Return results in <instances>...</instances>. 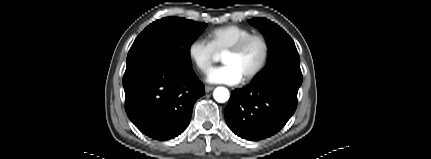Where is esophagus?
Listing matches in <instances>:
<instances>
[{
	"instance_id": "1",
	"label": "esophagus",
	"mask_w": 431,
	"mask_h": 159,
	"mask_svg": "<svg viewBox=\"0 0 431 159\" xmlns=\"http://www.w3.org/2000/svg\"><path fill=\"white\" fill-rule=\"evenodd\" d=\"M214 89V87L213 86H205V91L206 92H210V91H212Z\"/></svg>"
}]
</instances>
